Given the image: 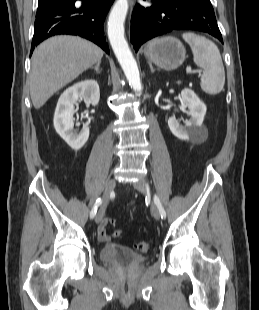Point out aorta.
Listing matches in <instances>:
<instances>
[{
  "instance_id": "1",
  "label": "aorta",
  "mask_w": 259,
  "mask_h": 310,
  "mask_svg": "<svg viewBox=\"0 0 259 310\" xmlns=\"http://www.w3.org/2000/svg\"><path fill=\"white\" fill-rule=\"evenodd\" d=\"M127 12L128 0H117L108 19V38L130 86L135 91H141L139 70L124 37Z\"/></svg>"
}]
</instances>
